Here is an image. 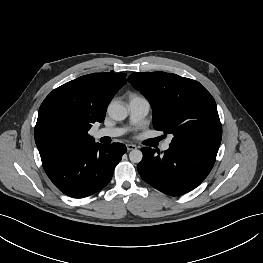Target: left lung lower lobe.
<instances>
[{"label":"left lung lower lobe","mask_w":263,"mask_h":263,"mask_svg":"<svg viewBox=\"0 0 263 263\" xmlns=\"http://www.w3.org/2000/svg\"><path fill=\"white\" fill-rule=\"evenodd\" d=\"M219 148L169 145L163 154L143 147L138 164L141 178L157 190L177 196L198 185L211 171Z\"/></svg>","instance_id":"0a47b994"}]
</instances>
